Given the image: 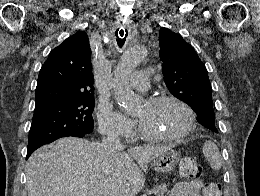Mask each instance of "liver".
Wrapping results in <instances>:
<instances>
[{"label": "liver", "mask_w": 260, "mask_h": 196, "mask_svg": "<svg viewBox=\"0 0 260 196\" xmlns=\"http://www.w3.org/2000/svg\"><path fill=\"white\" fill-rule=\"evenodd\" d=\"M172 146H135L111 154L99 142L60 138L30 156L28 196H137L147 164Z\"/></svg>", "instance_id": "6515ba94"}]
</instances>
